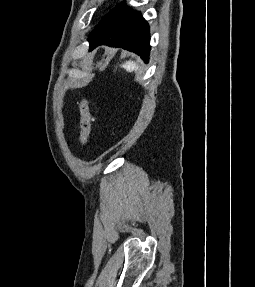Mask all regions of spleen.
Here are the masks:
<instances>
[{"label": "spleen", "mask_w": 255, "mask_h": 287, "mask_svg": "<svg viewBox=\"0 0 255 287\" xmlns=\"http://www.w3.org/2000/svg\"><path fill=\"white\" fill-rule=\"evenodd\" d=\"M123 68H125V70H127V72H137V70H138V66H136V64H134V62H126V64H124Z\"/></svg>", "instance_id": "obj_1"}]
</instances>
